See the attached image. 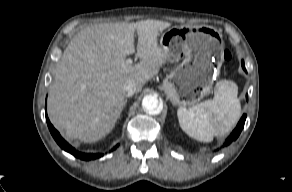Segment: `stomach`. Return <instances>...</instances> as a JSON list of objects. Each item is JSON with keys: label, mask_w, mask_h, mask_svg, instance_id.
<instances>
[{"label": "stomach", "mask_w": 292, "mask_h": 192, "mask_svg": "<svg viewBox=\"0 0 292 192\" xmlns=\"http://www.w3.org/2000/svg\"><path fill=\"white\" fill-rule=\"evenodd\" d=\"M160 46L169 62L181 61L163 82L173 105L192 106L211 92L224 50L222 36L215 28L175 26L162 33Z\"/></svg>", "instance_id": "stomach-1"}]
</instances>
